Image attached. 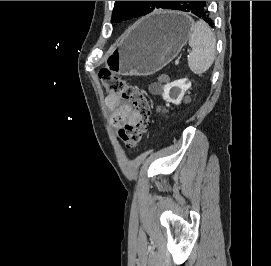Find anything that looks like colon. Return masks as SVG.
<instances>
[{
	"mask_svg": "<svg viewBox=\"0 0 271 266\" xmlns=\"http://www.w3.org/2000/svg\"><path fill=\"white\" fill-rule=\"evenodd\" d=\"M99 78L110 95L129 101L134 106L138 120L133 124L122 126L119 130V138L128 149L137 147L147 131L151 116V105L146 93L107 69L99 72Z\"/></svg>",
	"mask_w": 271,
	"mask_h": 266,
	"instance_id": "1",
	"label": "colon"
}]
</instances>
